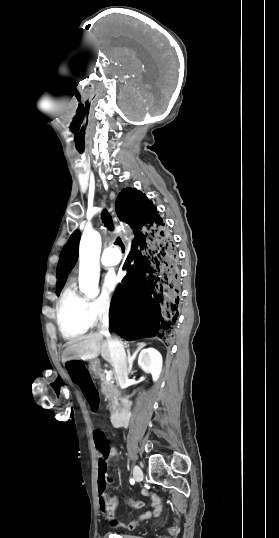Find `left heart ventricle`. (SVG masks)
Listing matches in <instances>:
<instances>
[{
  "label": "left heart ventricle",
  "mask_w": 279,
  "mask_h": 538,
  "mask_svg": "<svg viewBox=\"0 0 279 538\" xmlns=\"http://www.w3.org/2000/svg\"><path fill=\"white\" fill-rule=\"evenodd\" d=\"M81 209H83V207H68V210H70V211H71V210L79 211V210H81Z\"/></svg>",
  "instance_id": "obj_1"
}]
</instances>
